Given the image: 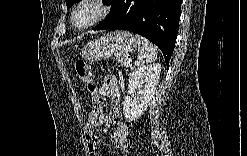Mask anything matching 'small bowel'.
<instances>
[{"instance_id":"c3829d8e","label":"small bowel","mask_w":247,"mask_h":156,"mask_svg":"<svg viewBox=\"0 0 247 156\" xmlns=\"http://www.w3.org/2000/svg\"><path fill=\"white\" fill-rule=\"evenodd\" d=\"M99 98L110 100L112 108L111 113L106 112V103H103L100 112H90L88 120L84 124V134L87 141L89 154L96 155V147L100 144V139L95 134V129L101 125L115 123L112 136L116 147L123 151L126 148L129 135L127 123L120 117L118 110L120 102V86L115 76H106L99 88Z\"/></svg>"}]
</instances>
